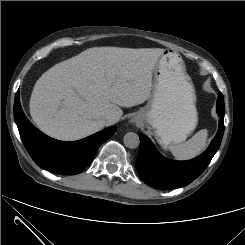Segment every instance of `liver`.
I'll return each instance as SVG.
<instances>
[{
  "instance_id": "liver-1",
  "label": "liver",
  "mask_w": 245,
  "mask_h": 245,
  "mask_svg": "<svg viewBox=\"0 0 245 245\" xmlns=\"http://www.w3.org/2000/svg\"><path fill=\"white\" fill-rule=\"evenodd\" d=\"M165 49L93 47L62 61L36 81L30 115L47 135L79 140L108 126L121 107L150 98L153 69Z\"/></svg>"
}]
</instances>
